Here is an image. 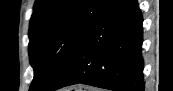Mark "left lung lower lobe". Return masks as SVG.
Masks as SVG:
<instances>
[{"label": "left lung lower lobe", "instance_id": "obj_1", "mask_svg": "<svg viewBox=\"0 0 173 91\" xmlns=\"http://www.w3.org/2000/svg\"><path fill=\"white\" fill-rule=\"evenodd\" d=\"M142 15L137 0H113L75 51L58 84L143 91Z\"/></svg>", "mask_w": 173, "mask_h": 91}]
</instances>
